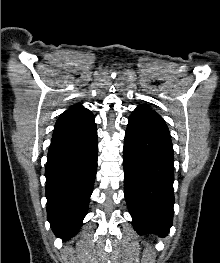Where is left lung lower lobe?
Wrapping results in <instances>:
<instances>
[{
  "label": "left lung lower lobe",
  "mask_w": 220,
  "mask_h": 263,
  "mask_svg": "<svg viewBox=\"0 0 220 263\" xmlns=\"http://www.w3.org/2000/svg\"><path fill=\"white\" fill-rule=\"evenodd\" d=\"M124 193L138 234L165 237L173 220L174 159L170 134L129 117L124 142Z\"/></svg>",
  "instance_id": "0a47b994"
}]
</instances>
